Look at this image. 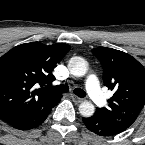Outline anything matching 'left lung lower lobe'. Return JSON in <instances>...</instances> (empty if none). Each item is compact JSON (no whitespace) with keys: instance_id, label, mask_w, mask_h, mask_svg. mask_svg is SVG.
I'll return each mask as SVG.
<instances>
[{"instance_id":"left-lung-lower-lobe-1","label":"left lung lower lobe","mask_w":145,"mask_h":145,"mask_svg":"<svg viewBox=\"0 0 145 145\" xmlns=\"http://www.w3.org/2000/svg\"><path fill=\"white\" fill-rule=\"evenodd\" d=\"M85 126L93 133L99 136H114L121 132L122 130L118 129L114 125L106 122L103 117L96 111L95 114L88 118H83Z\"/></svg>"}]
</instances>
